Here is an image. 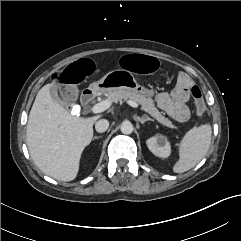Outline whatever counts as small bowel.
<instances>
[{"label":"small bowel","instance_id":"1","mask_svg":"<svg viewBox=\"0 0 241 241\" xmlns=\"http://www.w3.org/2000/svg\"><path fill=\"white\" fill-rule=\"evenodd\" d=\"M194 88L198 87L194 85L191 77L185 72H180L175 88L171 92L157 93L154 99L160 109L174 120L183 123L190 118L188 101L193 96Z\"/></svg>","mask_w":241,"mask_h":241}]
</instances>
